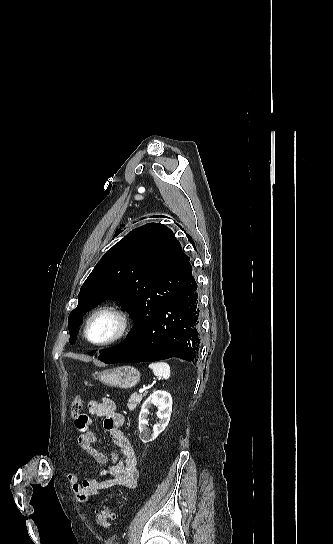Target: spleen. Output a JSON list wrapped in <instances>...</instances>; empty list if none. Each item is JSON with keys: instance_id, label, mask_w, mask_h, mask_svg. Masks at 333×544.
<instances>
[{"instance_id": "1", "label": "spleen", "mask_w": 333, "mask_h": 544, "mask_svg": "<svg viewBox=\"0 0 333 544\" xmlns=\"http://www.w3.org/2000/svg\"><path fill=\"white\" fill-rule=\"evenodd\" d=\"M149 368L155 376L167 380L170 377V366L166 362H155L149 364Z\"/></svg>"}]
</instances>
